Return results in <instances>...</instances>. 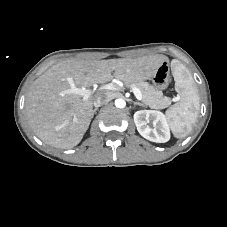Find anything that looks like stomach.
<instances>
[{
  "mask_svg": "<svg viewBox=\"0 0 227 227\" xmlns=\"http://www.w3.org/2000/svg\"><path fill=\"white\" fill-rule=\"evenodd\" d=\"M169 61L165 60L155 72V74L150 78L158 90L166 89L170 80L171 70H169Z\"/></svg>",
  "mask_w": 227,
  "mask_h": 227,
  "instance_id": "1",
  "label": "stomach"
}]
</instances>
